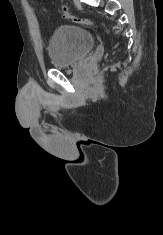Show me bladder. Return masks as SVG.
<instances>
[{
    "instance_id": "31cf9c89",
    "label": "bladder",
    "mask_w": 163,
    "mask_h": 235,
    "mask_svg": "<svg viewBox=\"0 0 163 235\" xmlns=\"http://www.w3.org/2000/svg\"><path fill=\"white\" fill-rule=\"evenodd\" d=\"M95 46V37L87 28L79 25H63L53 32L48 54L55 67L65 68L87 56Z\"/></svg>"
}]
</instances>
